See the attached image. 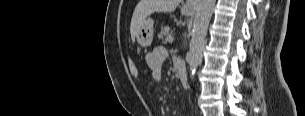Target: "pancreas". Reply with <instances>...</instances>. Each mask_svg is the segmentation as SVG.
<instances>
[{
  "instance_id": "1",
  "label": "pancreas",
  "mask_w": 305,
  "mask_h": 116,
  "mask_svg": "<svg viewBox=\"0 0 305 116\" xmlns=\"http://www.w3.org/2000/svg\"><path fill=\"white\" fill-rule=\"evenodd\" d=\"M171 36L170 28L168 26H164L161 28L160 33L158 34V38L167 42L169 37Z\"/></svg>"
}]
</instances>
